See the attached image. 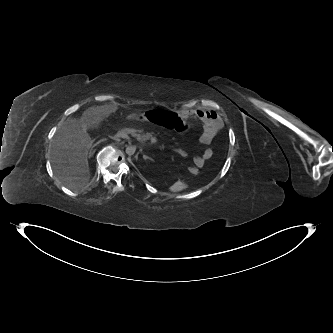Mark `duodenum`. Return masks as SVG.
Returning <instances> with one entry per match:
<instances>
[{"label":"duodenum","instance_id":"duodenum-1","mask_svg":"<svg viewBox=\"0 0 333 333\" xmlns=\"http://www.w3.org/2000/svg\"><path fill=\"white\" fill-rule=\"evenodd\" d=\"M139 131L137 130V129H132V128H124V129H122V130H118L117 132H116V135L117 136H123L124 134L126 135V134H137Z\"/></svg>","mask_w":333,"mask_h":333}]
</instances>
